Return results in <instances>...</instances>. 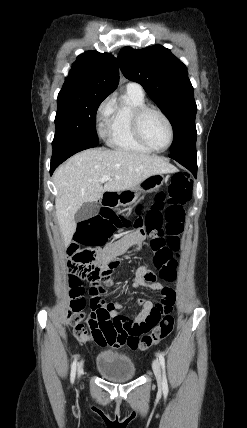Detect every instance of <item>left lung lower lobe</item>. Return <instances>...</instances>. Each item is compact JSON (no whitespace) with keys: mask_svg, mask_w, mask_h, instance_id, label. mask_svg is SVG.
<instances>
[{"mask_svg":"<svg viewBox=\"0 0 247 428\" xmlns=\"http://www.w3.org/2000/svg\"><path fill=\"white\" fill-rule=\"evenodd\" d=\"M170 158L176 160L181 165L186 167L196 178L197 176V157L196 153L182 154V155H169Z\"/></svg>","mask_w":247,"mask_h":428,"instance_id":"1","label":"left lung lower lobe"}]
</instances>
